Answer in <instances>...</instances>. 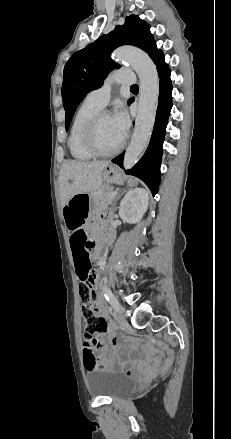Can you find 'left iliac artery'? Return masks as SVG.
Instances as JSON below:
<instances>
[{
    "label": "left iliac artery",
    "mask_w": 231,
    "mask_h": 439,
    "mask_svg": "<svg viewBox=\"0 0 231 439\" xmlns=\"http://www.w3.org/2000/svg\"><path fill=\"white\" fill-rule=\"evenodd\" d=\"M103 292L105 299L113 306L117 307L119 305L117 299L112 294L111 290L107 286H103Z\"/></svg>",
    "instance_id": "obj_1"
}]
</instances>
